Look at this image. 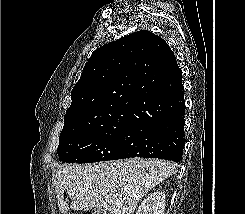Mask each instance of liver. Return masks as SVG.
I'll return each mask as SVG.
<instances>
[{
    "label": "liver",
    "instance_id": "6515ba94",
    "mask_svg": "<svg viewBox=\"0 0 245 214\" xmlns=\"http://www.w3.org/2000/svg\"><path fill=\"white\" fill-rule=\"evenodd\" d=\"M176 173L169 161L127 159L83 166H66L56 173L54 186L61 213L104 208L110 214H133L142 197ZM67 192L71 204L64 201Z\"/></svg>",
    "mask_w": 245,
    "mask_h": 214
}]
</instances>
